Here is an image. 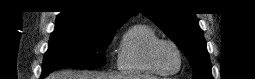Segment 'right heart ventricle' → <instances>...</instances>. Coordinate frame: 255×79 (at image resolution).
<instances>
[{
	"label": "right heart ventricle",
	"mask_w": 255,
	"mask_h": 79,
	"mask_svg": "<svg viewBox=\"0 0 255 79\" xmlns=\"http://www.w3.org/2000/svg\"><path fill=\"white\" fill-rule=\"evenodd\" d=\"M158 39L154 29L145 24L131 26L125 33L118 55V68L123 73L156 75L147 61L149 45Z\"/></svg>",
	"instance_id": "e07e8e85"
}]
</instances>
